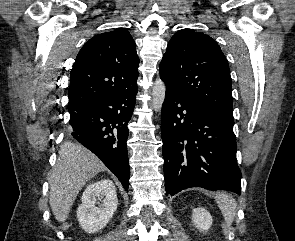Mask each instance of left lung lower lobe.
<instances>
[{
  "label": "left lung lower lobe",
  "instance_id": "0a47b994",
  "mask_svg": "<svg viewBox=\"0 0 295 241\" xmlns=\"http://www.w3.org/2000/svg\"><path fill=\"white\" fill-rule=\"evenodd\" d=\"M233 125L166 87L161 135L167 195L190 187L240 195Z\"/></svg>",
  "mask_w": 295,
  "mask_h": 241
}]
</instances>
